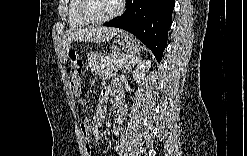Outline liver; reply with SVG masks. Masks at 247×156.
<instances>
[{
  "instance_id": "obj_1",
  "label": "liver",
  "mask_w": 247,
  "mask_h": 156,
  "mask_svg": "<svg viewBox=\"0 0 247 156\" xmlns=\"http://www.w3.org/2000/svg\"><path fill=\"white\" fill-rule=\"evenodd\" d=\"M119 32L120 29L113 27H89L69 32L63 41L64 59H68L70 44L73 41L101 43L109 41Z\"/></svg>"
}]
</instances>
